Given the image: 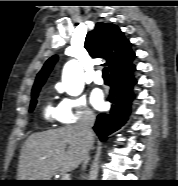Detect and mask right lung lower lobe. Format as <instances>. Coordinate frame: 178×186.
<instances>
[{
  "instance_id": "98d812e1",
  "label": "right lung lower lobe",
  "mask_w": 178,
  "mask_h": 186,
  "mask_svg": "<svg viewBox=\"0 0 178 186\" xmlns=\"http://www.w3.org/2000/svg\"><path fill=\"white\" fill-rule=\"evenodd\" d=\"M135 71L136 66L131 62L110 73L108 101L111 102V109L108 113L99 114L94 126L95 132L102 141L123 126L128 119L131 101L134 98L131 92L137 83L133 76Z\"/></svg>"
}]
</instances>
